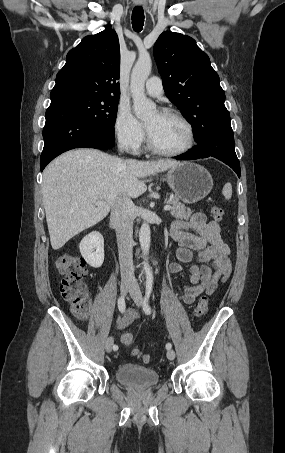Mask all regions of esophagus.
I'll list each match as a JSON object with an SVG mask.
<instances>
[{
  "mask_svg": "<svg viewBox=\"0 0 285 453\" xmlns=\"http://www.w3.org/2000/svg\"><path fill=\"white\" fill-rule=\"evenodd\" d=\"M135 4L138 6H144L145 2H144V0H135Z\"/></svg>",
  "mask_w": 285,
  "mask_h": 453,
  "instance_id": "esophagus-1",
  "label": "esophagus"
}]
</instances>
